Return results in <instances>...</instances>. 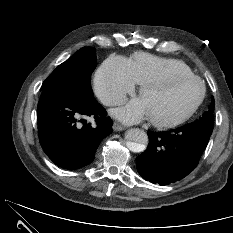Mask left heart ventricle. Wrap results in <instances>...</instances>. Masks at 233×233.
I'll list each match as a JSON object with an SVG mask.
<instances>
[{
  "label": "left heart ventricle",
  "mask_w": 233,
  "mask_h": 233,
  "mask_svg": "<svg viewBox=\"0 0 233 233\" xmlns=\"http://www.w3.org/2000/svg\"><path fill=\"white\" fill-rule=\"evenodd\" d=\"M200 87L194 80H183L142 93V100L149 118L171 121L184 115L196 102Z\"/></svg>",
  "instance_id": "obj_1"
}]
</instances>
